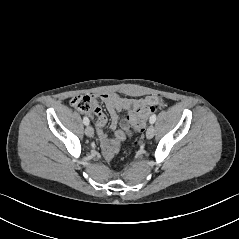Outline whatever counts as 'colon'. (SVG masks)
I'll return each mask as SVG.
<instances>
[{
  "label": "colon",
  "instance_id": "colon-1",
  "mask_svg": "<svg viewBox=\"0 0 239 239\" xmlns=\"http://www.w3.org/2000/svg\"><path fill=\"white\" fill-rule=\"evenodd\" d=\"M71 105L81 112H90L93 110V102L89 96L80 95L76 96L71 100ZM159 108L158 103L146 104L141 106L135 115H133L131 123L134 128L141 132L144 129L148 115ZM137 141H134L136 144Z\"/></svg>",
  "mask_w": 239,
  "mask_h": 239
}]
</instances>
